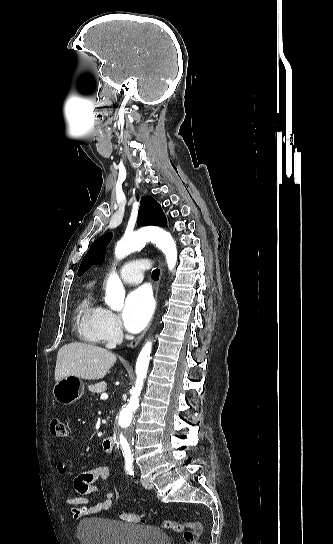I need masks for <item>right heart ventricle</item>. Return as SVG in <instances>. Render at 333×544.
<instances>
[{
  "instance_id": "1",
  "label": "right heart ventricle",
  "mask_w": 333,
  "mask_h": 544,
  "mask_svg": "<svg viewBox=\"0 0 333 544\" xmlns=\"http://www.w3.org/2000/svg\"><path fill=\"white\" fill-rule=\"evenodd\" d=\"M104 310L105 309L95 301L93 295L87 296L79 304L77 309V322L82 339L91 343L103 341L100 332V321Z\"/></svg>"
}]
</instances>
